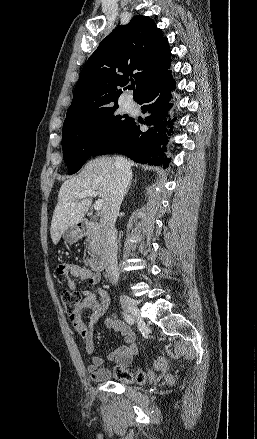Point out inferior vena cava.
Instances as JSON below:
<instances>
[{
  "instance_id": "602c4592",
  "label": "inferior vena cava",
  "mask_w": 257,
  "mask_h": 439,
  "mask_svg": "<svg viewBox=\"0 0 257 439\" xmlns=\"http://www.w3.org/2000/svg\"><path fill=\"white\" fill-rule=\"evenodd\" d=\"M116 174L114 183L111 187L108 199L101 212L102 228V257L105 264V271L112 284H116L119 279L117 267V231L115 222L124 194L130 180L132 172L128 161L122 157L115 158Z\"/></svg>"
}]
</instances>
